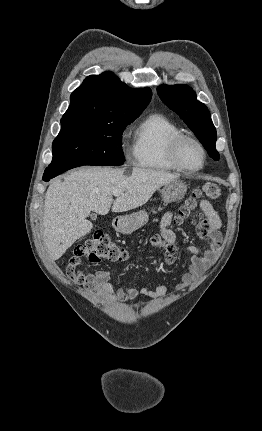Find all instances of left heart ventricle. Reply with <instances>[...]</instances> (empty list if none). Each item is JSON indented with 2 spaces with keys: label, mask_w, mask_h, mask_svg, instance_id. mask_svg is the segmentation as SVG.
<instances>
[{
  "label": "left heart ventricle",
  "mask_w": 262,
  "mask_h": 431,
  "mask_svg": "<svg viewBox=\"0 0 262 431\" xmlns=\"http://www.w3.org/2000/svg\"><path fill=\"white\" fill-rule=\"evenodd\" d=\"M181 159L188 168H197L202 163L200 151L191 143L184 145L181 151Z\"/></svg>",
  "instance_id": "left-heart-ventricle-1"
}]
</instances>
